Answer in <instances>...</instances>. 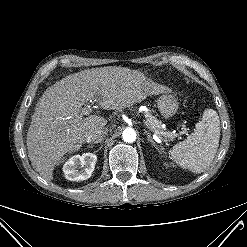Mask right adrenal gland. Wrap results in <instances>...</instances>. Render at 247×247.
Instances as JSON below:
<instances>
[{
    "instance_id": "1",
    "label": "right adrenal gland",
    "mask_w": 247,
    "mask_h": 247,
    "mask_svg": "<svg viewBox=\"0 0 247 247\" xmlns=\"http://www.w3.org/2000/svg\"><path fill=\"white\" fill-rule=\"evenodd\" d=\"M88 148H93V146H92V145H91V146H90V145H88Z\"/></svg>"
}]
</instances>
